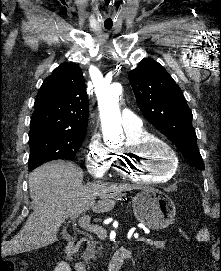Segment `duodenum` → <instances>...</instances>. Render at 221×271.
Listing matches in <instances>:
<instances>
[{"label": "duodenum", "instance_id": "obj_1", "mask_svg": "<svg viewBox=\"0 0 221 271\" xmlns=\"http://www.w3.org/2000/svg\"><path fill=\"white\" fill-rule=\"evenodd\" d=\"M84 242V239H72L64 248V259L68 261L75 271H86L85 266L76 259V254L80 249V246ZM131 258V253L126 248H119L113 254L108 270L120 271L123 264Z\"/></svg>", "mask_w": 221, "mask_h": 271}]
</instances>
